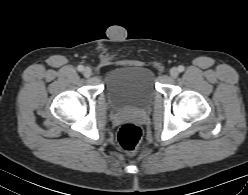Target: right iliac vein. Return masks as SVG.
<instances>
[{"label":"right iliac vein","instance_id":"63e3f726","mask_svg":"<svg viewBox=\"0 0 248 195\" xmlns=\"http://www.w3.org/2000/svg\"><path fill=\"white\" fill-rule=\"evenodd\" d=\"M83 74L85 77H90L92 75V70L89 67L84 68Z\"/></svg>","mask_w":248,"mask_h":195}]
</instances>
